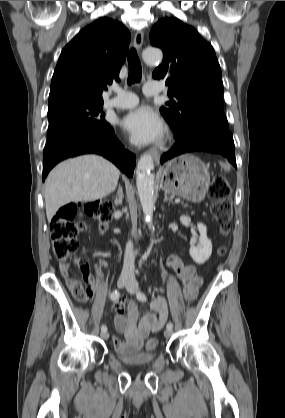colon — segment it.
<instances>
[{"mask_svg":"<svg viewBox=\"0 0 285 418\" xmlns=\"http://www.w3.org/2000/svg\"><path fill=\"white\" fill-rule=\"evenodd\" d=\"M212 200L210 211L213 218L219 222L220 233L225 236L229 231L228 221L232 215L230 203V190L223 174H217L208 190ZM94 218L102 223V229L112 219L110 207L99 201H90L82 204L69 203L62 206L53 216L50 222V237L53 244L54 256L62 262L63 271L68 266V260L79 250L77 235L85 229L83 218ZM226 249L223 245L217 248V254L223 256ZM72 292L79 302H86L90 298V292L86 285L76 280ZM189 300H193L190 298ZM157 340L154 337L148 338L145 342V349L148 352L155 350Z\"/></svg>","mask_w":285,"mask_h":418,"instance_id":"obj_1","label":"colon"}]
</instances>
